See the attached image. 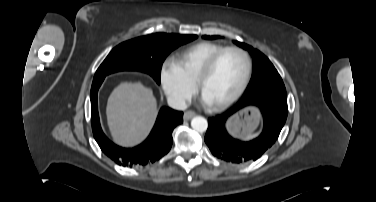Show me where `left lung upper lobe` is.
<instances>
[{
  "mask_svg": "<svg viewBox=\"0 0 376 202\" xmlns=\"http://www.w3.org/2000/svg\"><path fill=\"white\" fill-rule=\"evenodd\" d=\"M204 39L212 40L218 36H203ZM235 44L247 49L254 58V70L251 81L242 99L254 97L261 94H269L279 98L287 99L284 83L270 60L257 49L235 41Z\"/></svg>",
  "mask_w": 376,
  "mask_h": 202,
  "instance_id": "5c2ea615",
  "label": "left lung upper lobe"
}]
</instances>
